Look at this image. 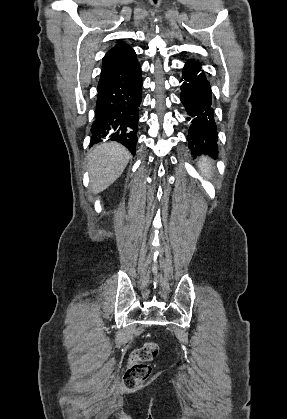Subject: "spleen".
Returning a JSON list of instances; mask_svg holds the SVG:
<instances>
[{
  "instance_id": "3e777b00",
  "label": "spleen",
  "mask_w": 287,
  "mask_h": 419,
  "mask_svg": "<svg viewBox=\"0 0 287 419\" xmlns=\"http://www.w3.org/2000/svg\"><path fill=\"white\" fill-rule=\"evenodd\" d=\"M198 166L202 174L206 176L207 178H209L210 175L212 174V166L210 164L209 159L206 157H202L199 161Z\"/></svg>"
}]
</instances>
